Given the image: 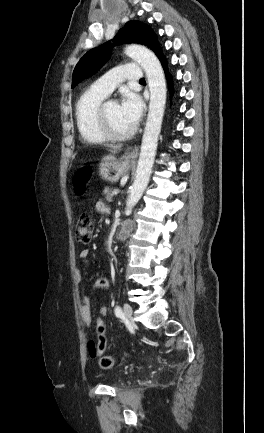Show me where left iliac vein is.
<instances>
[{
	"label": "left iliac vein",
	"mask_w": 264,
	"mask_h": 433,
	"mask_svg": "<svg viewBox=\"0 0 264 433\" xmlns=\"http://www.w3.org/2000/svg\"><path fill=\"white\" fill-rule=\"evenodd\" d=\"M123 312H124L125 319H126L128 322H130L131 319H132V313H133V310H132V307H131L128 303H125V304H124Z\"/></svg>",
	"instance_id": "1"
}]
</instances>
